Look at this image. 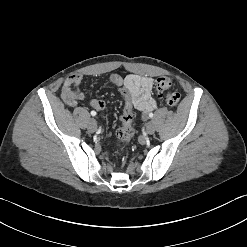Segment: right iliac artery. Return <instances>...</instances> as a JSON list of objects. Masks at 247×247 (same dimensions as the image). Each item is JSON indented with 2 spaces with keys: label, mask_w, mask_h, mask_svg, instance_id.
I'll use <instances>...</instances> for the list:
<instances>
[{
  "label": "right iliac artery",
  "mask_w": 247,
  "mask_h": 247,
  "mask_svg": "<svg viewBox=\"0 0 247 247\" xmlns=\"http://www.w3.org/2000/svg\"><path fill=\"white\" fill-rule=\"evenodd\" d=\"M96 114H97V113H96L95 111H91V115H92V116H96Z\"/></svg>",
  "instance_id": "obj_1"
}]
</instances>
